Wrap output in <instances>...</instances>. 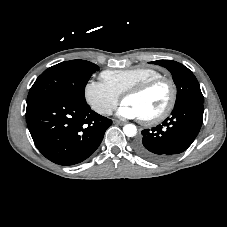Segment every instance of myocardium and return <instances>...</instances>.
<instances>
[{
    "mask_svg": "<svg viewBox=\"0 0 227 227\" xmlns=\"http://www.w3.org/2000/svg\"><path fill=\"white\" fill-rule=\"evenodd\" d=\"M166 83L170 89V98L166 105V107L157 115L149 117V118H141L142 122L147 125H154L165 120L173 111L176 101H177V86L173 79L166 76H159L148 81H145L135 87L128 89L123 93L122 99L124 100L128 96H138L144 94L145 92L152 89L154 86Z\"/></svg>",
    "mask_w": 227,
    "mask_h": 227,
    "instance_id": "1",
    "label": "myocardium"
}]
</instances>
